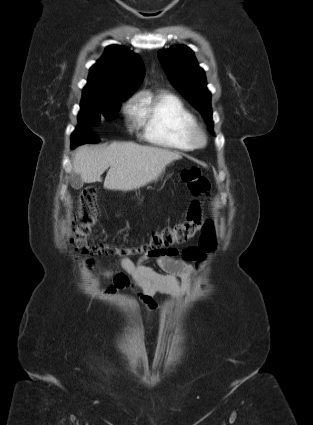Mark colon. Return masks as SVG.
Instances as JSON below:
<instances>
[{
	"label": "colon",
	"mask_w": 313,
	"mask_h": 425,
	"mask_svg": "<svg viewBox=\"0 0 313 425\" xmlns=\"http://www.w3.org/2000/svg\"><path fill=\"white\" fill-rule=\"evenodd\" d=\"M181 179L195 196H203L210 191V182L199 167L193 166L182 170ZM100 215L98 190L94 186L85 187L79 197V213L73 223L71 245L75 251L84 255L105 257H128L137 254L158 255L171 246L190 240L201 230L199 247L187 248L183 257L189 261L199 262L206 252L216 246V235L211 222H203L200 204L193 201L183 222L154 231L147 243L135 247H118L111 244H93L89 242L92 228Z\"/></svg>",
	"instance_id": "obj_1"
}]
</instances>
